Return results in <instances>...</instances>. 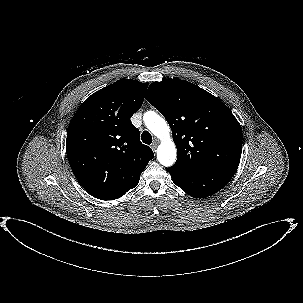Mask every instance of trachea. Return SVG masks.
I'll return each instance as SVG.
<instances>
[{
  "label": "trachea",
  "instance_id": "3493384b",
  "mask_svg": "<svg viewBox=\"0 0 303 303\" xmlns=\"http://www.w3.org/2000/svg\"><path fill=\"white\" fill-rule=\"evenodd\" d=\"M141 138H142L143 143H145V144L149 145L152 143V135L148 131H144L142 133Z\"/></svg>",
  "mask_w": 303,
  "mask_h": 303
}]
</instances>
